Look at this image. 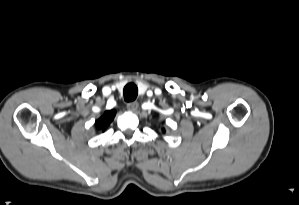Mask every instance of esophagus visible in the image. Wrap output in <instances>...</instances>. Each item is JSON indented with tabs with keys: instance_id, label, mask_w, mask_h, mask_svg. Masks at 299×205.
I'll return each mask as SVG.
<instances>
[{
	"instance_id": "1",
	"label": "esophagus",
	"mask_w": 299,
	"mask_h": 205,
	"mask_svg": "<svg viewBox=\"0 0 299 205\" xmlns=\"http://www.w3.org/2000/svg\"><path fill=\"white\" fill-rule=\"evenodd\" d=\"M138 106H139L138 102L136 101L130 102L127 104V109L131 112H134L137 110Z\"/></svg>"
}]
</instances>
